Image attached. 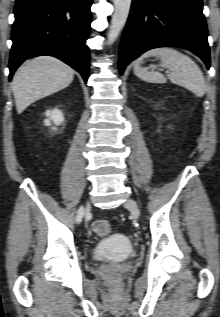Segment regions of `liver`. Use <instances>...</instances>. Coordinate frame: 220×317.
<instances>
[{
	"instance_id": "1",
	"label": "liver",
	"mask_w": 220,
	"mask_h": 317,
	"mask_svg": "<svg viewBox=\"0 0 220 317\" xmlns=\"http://www.w3.org/2000/svg\"><path fill=\"white\" fill-rule=\"evenodd\" d=\"M73 77L74 70L57 58L42 56L26 61L12 81L17 113L21 114L35 101L64 89Z\"/></svg>"
}]
</instances>
